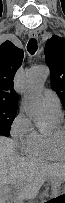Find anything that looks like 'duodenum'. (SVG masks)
<instances>
[{
  "instance_id": "obj_1",
  "label": "duodenum",
  "mask_w": 65,
  "mask_h": 203,
  "mask_svg": "<svg viewBox=\"0 0 65 203\" xmlns=\"http://www.w3.org/2000/svg\"><path fill=\"white\" fill-rule=\"evenodd\" d=\"M43 203H51L50 201H45V202H43Z\"/></svg>"
}]
</instances>
